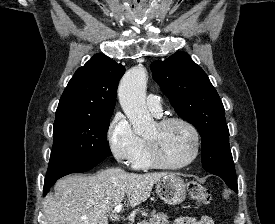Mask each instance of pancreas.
Instances as JSON below:
<instances>
[{"label":"pancreas","mask_w":275,"mask_h":224,"mask_svg":"<svg viewBox=\"0 0 275 224\" xmlns=\"http://www.w3.org/2000/svg\"><path fill=\"white\" fill-rule=\"evenodd\" d=\"M141 224H169V218L164 213L152 211L149 220H143Z\"/></svg>","instance_id":"1"}]
</instances>
